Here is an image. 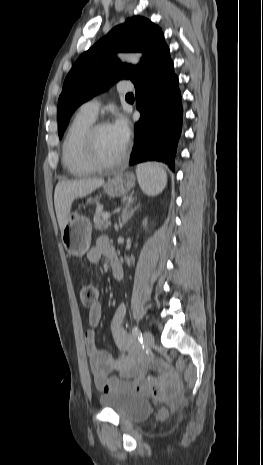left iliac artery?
Listing matches in <instances>:
<instances>
[{
    "label": "left iliac artery",
    "mask_w": 263,
    "mask_h": 465,
    "mask_svg": "<svg viewBox=\"0 0 263 465\" xmlns=\"http://www.w3.org/2000/svg\"><path fill=\"white\" fill-rule=\"evenodd\" d=\"M132 335L139 341V342H143V337H142V333L141 331L139 330L138 327H133L132 328Z\"/></svg>",
    "instance_id": "1"
}]
</instances>
